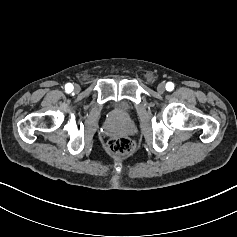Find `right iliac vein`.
<instances>
[{
  "label": "right iliac vein",
  "instance_id": "63e3f726",
  "mask_svg": "<svg viewBox=\"0 0 237 237\" xmlns=\"http://www.w3.org/2000/svg\"><path fill=\"white\" fill-rule=\"evenodd\" d=\"M75 90H76V91H79V86H75Z\"/></svg>",
  "mask_w": 237,
  "mask_h": 237
}]
</instances>
